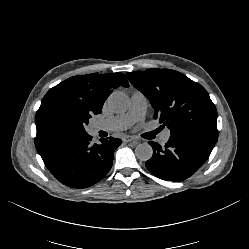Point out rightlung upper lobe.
Returning <instances> with one entry per match:
<instances>
[{"label": "right lung upper lobe", "instance_id": "1", "mask_svg": "<svg viewBox=\"0 0 249 249\" xmlns=\"http://www.w3.org/2000/svg\"><path fill=\"white\" fill-rule=\"evenodd\" d=\"M119 86L129 87L127 79L121 72L74 76L51 88L44 96L35 116L36 148L54 140L42 132L40 124L41 112L49 104L56 101L74 102L84 105L91 114H99L107 97Z\"/></svg>", "mask_w": 249, "mask_h": 249}]
</instances>
